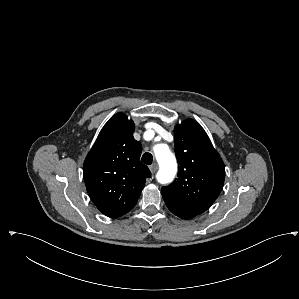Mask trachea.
<instances>
[{"label":"trachea","mask_w":299,"mask_h":299,"mask_svg":"<svg viewBox=\"0 0 299 299\" xmlns=\"http://www.w3.org/2000/svg\"><path fill=\"white\" fill-rule=\"evenodd\" d=\"M141 160L144 164L150 165L153 162V156L151 153H144Z\"/></svg>","instance_id":"trachea-1"}]
</instances>
